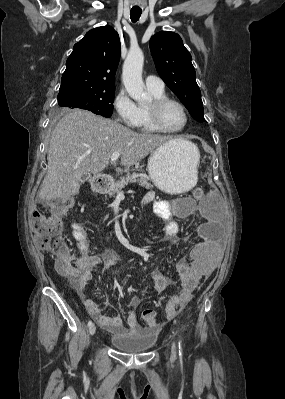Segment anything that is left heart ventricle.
<instances>
[{
	"instance_id": "1",
	"label": "left heart ventricle",
	"mask_w": 285,
	"mask_h": 399,
	"mask_svg": "<svg viewBox=\"0 0 285 399\" xmlns=\"http://www.w3.org/2000/svg\"><path fill=\"white\" fill-rule=\"evenodd\" d=\"M163 122L167 127L178 128L184 123V115L174 103L168 104L163 110Z\"/></svg>"
}]
</instances>
